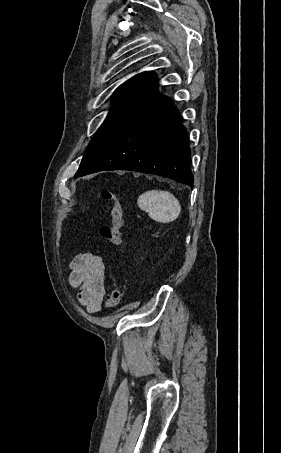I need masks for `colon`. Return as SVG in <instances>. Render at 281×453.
I'll use <instances>...</instances> for the list:
<instances>
[{"label": "colon", "mask_w": 281, "mask_h": 453, "mask_svg": "<svg viewBox=\"0 0 281 453\" xmlns=\"http://www.w3.org/2000/svg\"><path fill=\"white\" fill-rule=\"evenodd\" d=\"M100 196L111 205L109 223L100 228V235L112 246L120 247L123 244L121 233L126 227L127 219L119 184L113 183L103 187L100 190ZM123 295V288L114 286L104 302V308L109 310L117 307L122 302Z\"/></svg>", "instance_id": "5ec220e1"}]
</instances>
